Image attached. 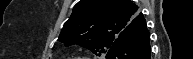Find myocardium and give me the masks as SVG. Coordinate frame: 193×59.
<instances>
[{
	"label": "myocardium",
	"mask_w": 193,
	"mask_h": 59,
	"mask_svg": "<svg viewBox=\"0 0 193 59\" xmlns=\"http://www.w3.org/2000/svg\"><path fill=\"white\" fill-rule=\"evenodd\" d=\"M74 59H89V58L82 57V58H74Z\"/></svg>",
	"instance_id": "myocardium-1"
}]
</instances>
